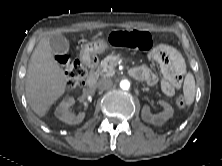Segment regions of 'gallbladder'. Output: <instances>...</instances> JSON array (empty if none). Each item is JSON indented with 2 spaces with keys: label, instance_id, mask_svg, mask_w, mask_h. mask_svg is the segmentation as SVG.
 Masks as SVG:
<instances>
[{
  "label": "gallbladder",
  "instance_id": "bac80fb5",
  "mask_svg": "<svg viewBox=\"0 0 222 166\" xmlns=\"http://www.w3.org/2000/svg\"><path fill=\"white\" fill-rule=\"evenodd\" d=\"M50 46L54 54H66L69 51L68 40L60 34L50 37Z\"/></svg>",
  "mask_w": 222,
  "mask_h": 166
}]
</instances>
